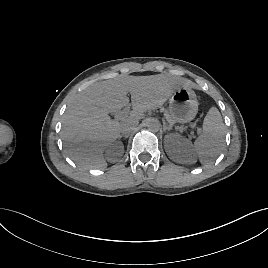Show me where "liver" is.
Returning a JSON list of instances; mask_svg holds the SVG:
<instances>
[{
    "mask_svg": "<svg viewBox=\"0 0 268 268\" xmlns=\"http://www.w3.org/2000/svg\"><path fill=\"white\" fill-rule=\"evenodd\" d=\"M183 80L165 74L151 76L119 75L93 83L68 104L63 115L61 137L70 158L79 166L104 169V150L120 136V125L126 120L139 121L144 112L162 106L182 86ZM129 116L112 120L109 114L129 104Z\"/></svg>",
    "mask_w": 268,
    "mask_h": 268,
    "instance_id": "1",
    "label": "liver"
}]
</instances>
